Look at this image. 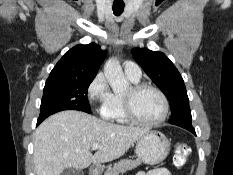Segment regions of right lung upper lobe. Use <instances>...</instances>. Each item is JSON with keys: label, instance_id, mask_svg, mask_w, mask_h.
<instances>
[{"label": "right lung upper lobe", "instance_id": "obj_1", "mask_svg": "<svg viewBox=\"0 0 233 175\" xmlns=\"http://www.w3.org/2000/svg\"><path fill=\"white\" fill-rule=\"evenodd\" d=\"M106 51L97 44H79L71 48L59 60L48 79L95 77Z\"/></svg>", "mask_w": 233, "mask_h": 175}]
</instances>
